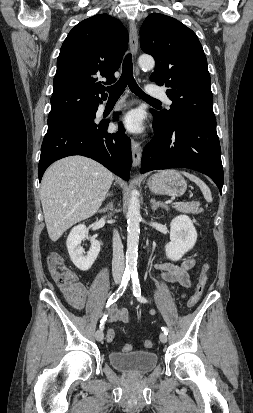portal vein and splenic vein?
<instances>
[{
	"label": "portal vein and splenic vein",
	"mask_w": 253,
	"mask_h": 413,
	"mask_svg": "<svg viewBox=\"0 0 253 413\" xmlns=\"http://www.w3.org/2000/svg\"><path fill=\"white\" fill-rule=\"evenodd\" d=\"M172 201H173V199H171V200L167 201V203H171Z\"/></svg>",
	"instance_id": "portal-vein-and-splenic-vein-1"
}]
</instances>
